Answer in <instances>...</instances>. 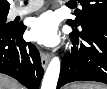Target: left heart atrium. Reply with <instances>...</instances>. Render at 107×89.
<instances>
[{
  "label": "left heart atrium",
  "instance_id": "39dd6f15",
  "mask_svg": "<svg viewBox=\"0 0 107 89\" xmlns=\"http://www.w3.org/2000/svg\"><path fill=\"white\" fill-rule=\"evenodd\" d=\"M31 38L45 46H54L60 40L58 21L54 13L45 12L31 23Z\"/></svg>",
  "mask_w": 107,
  "mask_h": 89
}]
</instances>
